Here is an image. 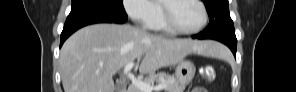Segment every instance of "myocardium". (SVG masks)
<instances>
[{
	"instance_id": "obj_1",
	"label": "myocardium",
	"mask_w": 296,
	"mask_h": 92,
	"mask_svg": "<svg viewBox=\"0 0 296 92\" xmlns=\"http://www.w3.org/2000/svg\"><path fill=\"white\" fill-rule=\"evenodd\" d=\"M178 1H180V0L162 1L163 21H164L166 27L170 31L178 33V34H182V35H193V34L200 32L202 29H204V27L206 26V24L208 22V11H207L205 4L200 0H191L200 6L202 13H203V20L197 28L192 29V30H184L175 24V22L173 21L172 16H171V6L175 2H178Z\"/></svg>"
}]
</instances>
